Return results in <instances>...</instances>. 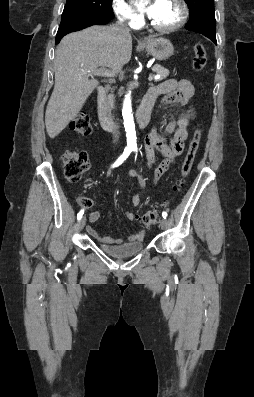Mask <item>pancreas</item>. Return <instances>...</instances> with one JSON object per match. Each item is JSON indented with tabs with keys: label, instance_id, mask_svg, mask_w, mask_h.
Instances as JSON below:
<instances>
[{
	"label": "pancreas",
	"instance_id": "1",
	"mask_svg": "<svg viewBox=\"0 0 254 397\" xmlns=\"http://www.w3.org/2000/svg\"><path fill=\"white\" fill-rule=\"evenodd\" d=\"M153 70L160 76L157 80H163L169 75V70L162 67L161 65H155L153 67ZM114 104V96L113 94H110L107 98V105L109 108H112Z\"/></svg>",
	"mask_w": 254,
	"mask_h": 397
}]
</instances>
